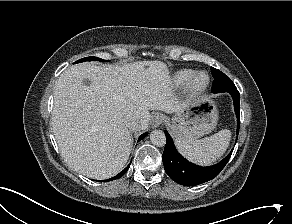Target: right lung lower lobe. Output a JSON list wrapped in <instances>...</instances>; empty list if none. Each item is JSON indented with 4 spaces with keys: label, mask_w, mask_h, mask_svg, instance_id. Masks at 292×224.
Segmentation results:
<instances>
[{
    "label": "right lung lower lobe",
    "mask_w": 292,
    "mask_h": 224,
    "mask_svg": "<svg viewBox=\"0 0 292 224\" xmlns=\"http://www.w3.org/2000/svg\"><path fill=\"white\" fill-rule=\"evenodd\" d=\"M147 134H148V133H144V134H142V135L139 137L138 141H140V140H142L143 138H145V137L147 136ZM129 165H130V164H129ZM129 165H128L123 171H121L118 175H116L115 177H112V178H110V179H108V180H104V181L115 180V179L120 178L121 176H123V175L127 172V170L129 169Z\"/></svg>",
    "instance_id": "right-lung-lower-lobe-1"
}]
</instances>
